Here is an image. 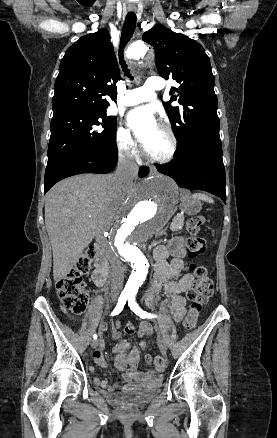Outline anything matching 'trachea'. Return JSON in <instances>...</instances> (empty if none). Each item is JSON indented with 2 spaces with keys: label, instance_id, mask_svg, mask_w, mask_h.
Here are the masks:
<instances>
[{
  "label": "trachea",
  "instance_id": "obj_1",
  "mask_svg": "<svg viewBox=\"0 0 277 438\" xmlns=\"http://www.w3.org/2000/svg\"><path fill=\"white\" fill-rule=\"evenodd\" d=\"M135 28H136V14L134 12H129L126 15V18H125V21L123 24L120 46H119L118 52H119L120 64H121V67L124 71V74L127 77H129L131 80H133V76H131L130 70H128L127 65L125 63L124 56H123V50L126 47L127 43L130 41V39L132 38V35L134 34Z\"/></svg>",
  "mask_w": 277,
  "mask_h": 438
}]
</instances>
